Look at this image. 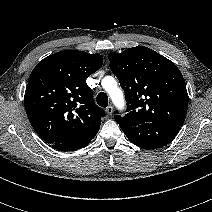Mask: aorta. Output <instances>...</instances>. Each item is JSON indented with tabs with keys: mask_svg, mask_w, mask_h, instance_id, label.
<instances>
[{
	"mask_svg": "<svg viewBox=\"0 0 212 212\" xmlns=\"http://www.w3.org/2000/svg\"><path fill=\"white\" fill-rule=\"evenodd\" d=\"M105 81H107V84L103 86L109 92L113 103L117 107H123L124 106L123 93L121 92L120 89L116 88L117 83L115 79L113 77H107L105 78Z\"/></svg>",
	"mask_w": 212,
	"mask_h": 212,
	"instance_id": "762f6f07",
	"label": "aorta"
}]
</instances>
